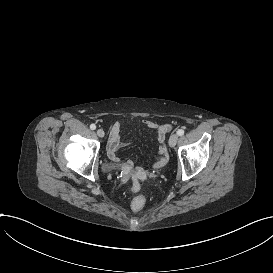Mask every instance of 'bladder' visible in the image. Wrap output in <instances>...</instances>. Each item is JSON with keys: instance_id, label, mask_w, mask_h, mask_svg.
Listing matches in <instances>:
<instances>
[{"instance_id": "1", "label": "bladder", "mask_w": 273, "mask_h": 273, "mask_svg": "<svg viewBox=\"0 0 273 273\" xmlns=\"http://www.w3.org/2000/svg\"><path fill=\"white\" fill-rule=\"evenodd\" d=\"M116 169V164L114 162L107 161L103 164V170L110 173Z\"/></svg>"}]
</instances>
